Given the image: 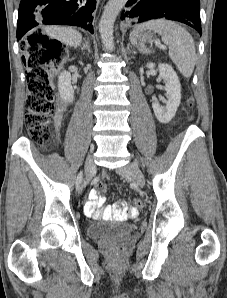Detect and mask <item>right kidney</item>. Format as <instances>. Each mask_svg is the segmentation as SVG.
I'll use <instances>...</instances> for the list:
<instances>
[{
    "instance_id": "right-kidney-1",
    "label": "right kidney",
    "mask_w": 227,
    "mask_h": 298,
    "mask_svg": "<svg viewBox=\"0 0 227 298\" xmlns=\"http://www.w3.org/2000/svg\"><path fill=\"white\" fill-rule=\"evenodd\" d=\"M58 90L60 99L65 103H72L74 101V91L71 85V74L63 71L59 75Z\"/></svg>"
}]
</instances>
